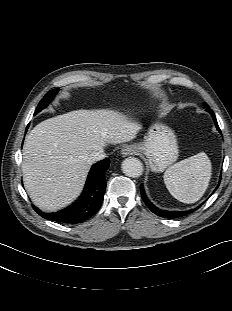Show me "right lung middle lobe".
I'll list each match as a JSON object with an SVG mask.
<instances>
[{
    "label": "right lung middle lobe",
    "mask_w": 232,
    "mask_h": 311,
    "mask_svg": "<svg viewBox=\"0 0 232 311\" xmlns=\"http://www.w3.org/2000/svg\"><path fill=\"white\" fill-rule=\"evenodd\" d=\"M58 89H53L51 91H49L44 97L43 99L40 101L35 114H37L38 112H40L43 108H45L48 103L54 98V96L57 94Z\"/></svg>",
    "instance_id": "obj_1"
}]
</instances>
